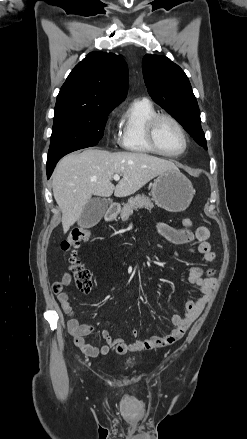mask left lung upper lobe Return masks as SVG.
Masks as SVG:
<instances>
[{
	"label": "left lung upper lobe",
	"mask_w": 247,
	"mask_h": 439,
	"mask_svg": "<svg viewBox=\"0 0 247 439\" xmlns=\"http://www.w3.org/2000/svg\"><path fill=\"white\" fill-rule=\"evenodd\" d=\"M142 70L151 98L207 149L197 100L184 71L167 57L151 54L143 58Z\"/></svg>",
	"instance_id": "obj_1"
}]
</instances>
